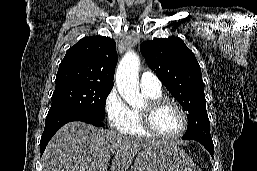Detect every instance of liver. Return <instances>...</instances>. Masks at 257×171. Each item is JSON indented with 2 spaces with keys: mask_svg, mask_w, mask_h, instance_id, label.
I'll use <instances>...</instances> for the list:
<instances>
[{
  "mask_svg": "<svg viewBox=\"0 0 257 171\" xmlns=\"http://www.w3.org/2000/svg\"><path fill=\"white\" fill-rule=\"evenodd\" d=\"M156 141L128 137L84 122L61 127L42 156L43 171H127L135 154Z\"/></svg>",
  "mask_w": 257,
  "mask_h": 171,
  "instance_id": "liver-1",
  "label": "liver"
}]
</instances>
